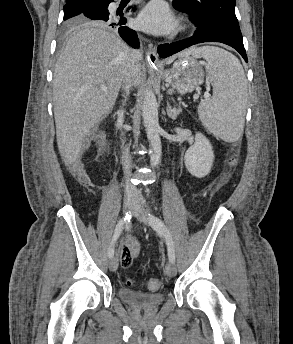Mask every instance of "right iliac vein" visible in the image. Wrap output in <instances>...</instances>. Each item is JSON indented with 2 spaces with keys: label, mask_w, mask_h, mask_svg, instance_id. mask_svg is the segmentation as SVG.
Returning a JSON list of instances; mask_svg holds the SVG:
<instances>
[{
  "label": "right iliac vein",
  "mask_w": 293,
  "mask_h": 344,
  "mask_svg": "<svg viewBox=\"0 0 293 344\" xmlns=\"http://www.w3.org/2000/svg\"><path fill=\"white\" fill-rule=\"evenodd\" d=\"M137 206V203L135 201L132 200H127L124 202V211L125 212H130L133 209H135ZM118 268V258L115 257H111L110 261H109V269L111 271H116Z\"/></svg>",
  "instance_id": "1"
}]
</instances>
